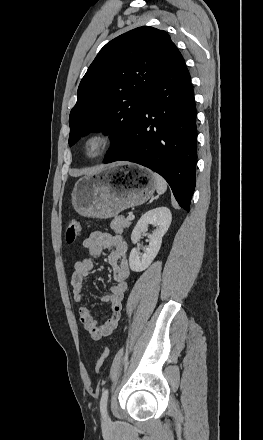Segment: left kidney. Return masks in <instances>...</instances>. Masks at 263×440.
Returning a JSON list of instances; mask_svg holds the SVG:
<instances>
[{
    "label": "left kidney",
    "mask_w": 263,
    "mask_h": 440,
    "mask_svg": "<svg viewBox=\"0 0 263 440\" xmlns=\"http://www.w3.org/2000/svg\"><path fill=\"white\" fill-rule=\"evenodd\" d=\"M172 215L167 207H157L147 211L141 216L131 234V241L136 244L141 234L152 224L157 227L156 230L149 236V245L141 254L139 249L133 248L129 256V265L132 271H144L154 260L158 254L162 238L170 227Z\"/></svg>",
    "instance_id": "obj_1"
}]
</instances>
